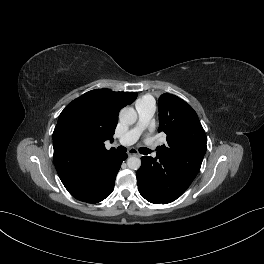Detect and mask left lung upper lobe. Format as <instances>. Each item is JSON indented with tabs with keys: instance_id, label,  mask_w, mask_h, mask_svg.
I'll use <instances>...</instances> for the list:
<instances>
[{
	"instance_id": "left-lung-upper-lobe-1",
	"label": "left lung upper lobe",
	"mask_w": 264,
	"mask_h": 264,
	"mask_svg": "<svg viewBox=\"0 0 264 264\" xmlns=\"http://www.w3.org/2000/svg\"><path fill=\"white\" fill-rule=\"evenodd\" d=\"M159 129L167 135V144L158 147V153L183 155L185 162L203 160L207 137L193 108L175 95L168 93L159 97Z\"/></svg>"
}]
</instances>
